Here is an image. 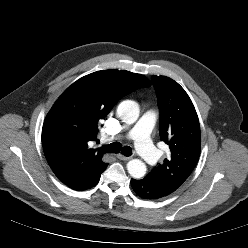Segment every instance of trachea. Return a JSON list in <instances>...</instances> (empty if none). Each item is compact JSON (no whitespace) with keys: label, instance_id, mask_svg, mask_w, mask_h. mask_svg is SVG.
I'll use <instances>...</instances> for the list:
<instances>
[{"label":"trachea","instance_id":"obj_1","mask_svg":"<svg viewBox=\"0 0 248 248\" xmlns=\"http://www.w3.org/2000/svg\"><path fill=\"white\" fill-rule=\"evenodd\" d=\"M104 149L109 153H119L123 154L126 157L132 155V149L129 146L121 147V144L118 142L111 143L109 145H105Z\"/></svg>","mask_w":248,"mask_h":248}]
</instances>
